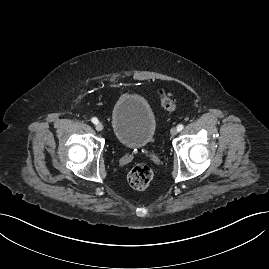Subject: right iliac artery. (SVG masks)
Returning a JSON list of instances; mask_svg holds the SVG:
<instances>
[{"mask_svg": "<svg viewBox=\"0 0 269 269\" xmlns=\"http://www.w3.org/2000/svg\"><path fill=\"white\" fill-rule=\"evenodd\" d=\"M91 121H92L94 124H97V123L99 122L98 119L95 118V117H93V118L91 119Z\"/></svg>", "mask_w": 269, "mask_h": 269, "instance_id": "obj_1", "label": "right iliac artery"}]
</instances>
